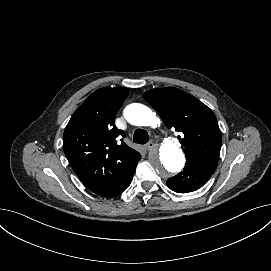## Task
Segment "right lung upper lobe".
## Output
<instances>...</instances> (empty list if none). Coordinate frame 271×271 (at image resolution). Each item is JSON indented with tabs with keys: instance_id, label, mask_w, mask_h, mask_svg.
I'll list each match as a JSON object with an SVG mask.
<instances>
[{
	"instance_id": "cb5924a9",
	"label": "right lung upper lobe",
	"mask_w": 271,
	"mask_h": 271,
	"mask_svg": "<svg viewBox=\"0 0 271 271\" xmlns=\"http://www.w3.org/2000/svg\"><path fill=\"white\" fill-rule=\"evenodd\" d=\"M128 92L122 87L96 90L74 112L65 128L64 153L79 179L93 192L140 155L123 140L117 143L125 133L115 126L114 119Z\"/></svg>"
}]
</instances>
